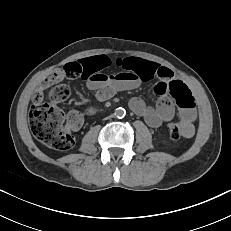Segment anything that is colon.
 <instances>
[{
    "mask_svg": "<svg viewBox=\"0 0 231 231\" xmlns=\"http://www.w3.org/2000/svg\"><path fill=\"white\" fill-rule=\"evenodd\" d=\"M63 70L68 78H76L81 74V67L77 63H68ZM70 92L66 84L54 85L48 93L51 103L33 101L29 112V123L33 135L46 146L61 151L73 147L74 138L70 131L81 126L83 122V117L79 112L70 111L65 115L56 106V103L66 100ZM169 134L172 139H179L183 135L181 124L171 123Z\"/></svg>",
    "mask_w": 231,
    "mask_h": 231,
    "instance_id": "obj_1",
    "label": "colon"
}]
</instances>
